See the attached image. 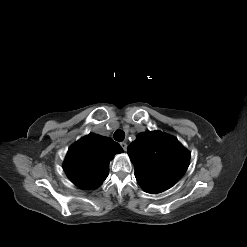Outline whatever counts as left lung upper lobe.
Wrapping results in <instances>:
<instances>
[{
  "label": "left lung upper lobe",
  "instance_id": "left-lung-upper-lobe-1",
  "mask_svg": "<svg viewBox=\"0 0 247 247\" xmlns=\"http://www.w3.org/2000/svg\"><path fill=\"white\" fill-rule=\"evenodd\" d=\"M135 177L144 191L152 194L172 187L185 174L190 153L174 137L160 131L137 135L127 148Z\"/></svg>",
  "mask_w": 247,
  "mask_h": 247
}]
</instances>
